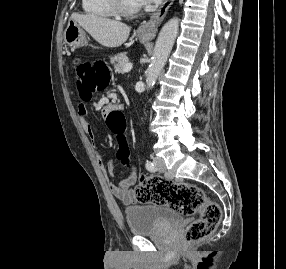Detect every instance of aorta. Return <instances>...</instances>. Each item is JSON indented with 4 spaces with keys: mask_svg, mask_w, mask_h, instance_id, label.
<instances>
[{
    "mask_svg": "<svg viewBox=\"0 0 286 269\" xmlns=\"http://www.w3.org/2000/svg\"><path fill=\"white\" fill-rule=\"evenodd\" d=\"M179 30V19L172 18L162 27L157 38L151 64L146 73L147 90L154 85L165 66Z\"/></svg>",
    "mask_w": 286,
    "mask_h": 269,
    "instance_id": "1",
    "label": "aorta"
}]
</instances>
